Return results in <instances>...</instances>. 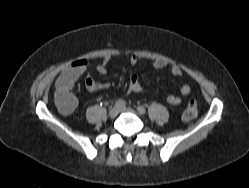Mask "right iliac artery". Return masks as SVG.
I'll list each match as a JSON object with an SVG mask.
<instances>
[{"label":"right iliac artery","instance_id":"1","mask_svg":"<svg viewBox=\"0 0 249 188\" xmlns=\"http://www.w3.org/2000/svg\"><path fill=\"white\" fill-rule=\"evenodd\" d=\"M126 103L124 100H118L115 102L116 107H125Z\"/></svg>","mask_w":249,"mask_h":188}]
</instances>
